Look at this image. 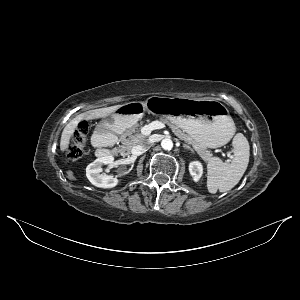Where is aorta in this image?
Returning <instances> with one entry per match:
<instances>
[{"mask_svg":"<svg viewBox=\"0 0 300 300\" xmlns=\"http://www.w3.org/2000/svg\"><path fill=\"white\" fill-rule=\"evenodd\" d=\"M161 146L164 150H171L173 148V142L169 138H165L161 141Z\"/></svg>","mask_w":300,"mask_h":300,"instance_id":"1","label":"aorta"}]
</instances>
